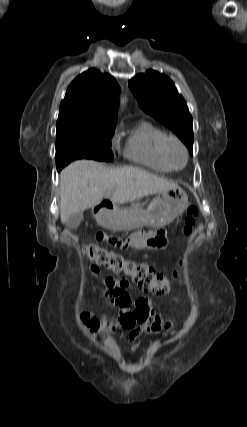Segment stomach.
Listing matches in <instances>:
<instances>
[{
    "label": "stomach",
    "instance_id": "obj_1",
    "mask_svg": "<svg viewBox=\"0 0 247 427\" xmlns=\"http://www.w3.org/2000/svg\"><path fill=\"white\" fill-rule=\"evenodd\" d=\"M188 206V196L180 187L158 193L146 210L125 213L117 208L102 209L95 214L106 229L135 230L144 226L162 228L181 215Z\"/></svg>",
    "mask_w": 247,
    "mask_h": 427
}]
</instances>
